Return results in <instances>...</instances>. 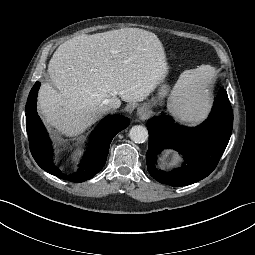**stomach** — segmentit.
Returning <instances> with one entry per match:
<instances>
[{
	"mask_svg": "<svg viewBox=\"0 0 255 255\" xmlns=\"http://www.w3.org/2000/svg\"><path fill=\"white\" fill-rule=\"evenodd\" d=\"M170 90V87L166 84H162L157 92V95L155 97H152L148 103L149 107L162 105L163 99L168 95Z\"/></svg>",
	"mask_w": 255,
	"mask_h": 255,
	"instance_id": "0dacf381",
	"label": "stomach"
}]
</instances>
